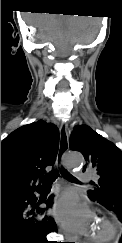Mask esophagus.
<instances>
[{
    "instance_id": "obj_1",
    "label": "esophagus",
    "mask_w": 122,
    "mask_h": 243,
    "mask_svg": "<svg viewBox=\"0 0 122 243\" xmlns=\"http://www.w3.org/2000/svg\"><path fill=\"white\" fill-rule=\"evenodd\" d=\"M69 148L67 124L63 123L60 127L59 149L56 159V165L61 170L63 168V158ZM65 239L68 243H79L78 237L69 234L67 231H63Z\"/></svg>"
}]
</instances>
